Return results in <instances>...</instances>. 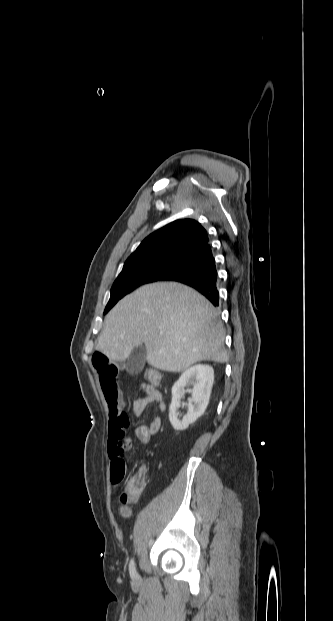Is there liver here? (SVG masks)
Segmentation results:
<instances>
[{
  "label": "liver",
  "instance_id": "liver-1",
  "mask_svg": "<svg viewBox=\"0 0 333 621\" xmlns=\"http://www.w3.org/2000/svg\"><path fill=\"white\" fill-rule=\"evenodd\" d=\"M224 330L216 309L201 294L176 282L145 285L109 312L96 350L124 361L144 344L147 362L182 372L198 361L224 363Z\"/></svg>",
  "mask_w": 333,
  "mask_h": 621
}]
</instances>
